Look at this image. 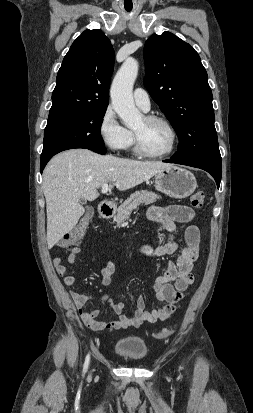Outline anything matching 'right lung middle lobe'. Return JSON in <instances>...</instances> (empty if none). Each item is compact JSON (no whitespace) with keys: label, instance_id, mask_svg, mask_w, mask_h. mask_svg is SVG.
Instances as JSON below:
<instances>
[{"label":"right lung middle lobe","instance_id":"right-lung-middle-lobe-1","mask_svg":"<svg viewBox=\"0 0 253 413\" xmlns=\"http://www.w3.org/2000/svg\"><path fill=\"white\" fill-rule=\"evenodd\" d=\"M107 108L49 115L42 154L67 145H104L100 128Z\"/></svg>","mask_w":253,"mask_h":413}]
</instances>
